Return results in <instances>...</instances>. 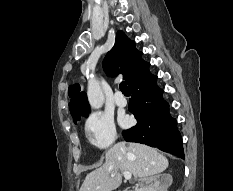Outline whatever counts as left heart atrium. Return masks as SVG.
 Segmentation results:
<instances>
[{"mask_svg": "<svg viewBox=\"0 0 233 191\" xmlns=\"http://www.w3.org/2000/svg\"><path fill=\"white\" fill-rule=\"evenodd\" d=\"M121 123L124 126L128 125L129 124V118L127 116H122L121 117Z\"/></svg>", "mask_w": 233, "mask_h": 191, "instance_id": "39dd6f15", "label": "left heart atrium"}]
</instances>
